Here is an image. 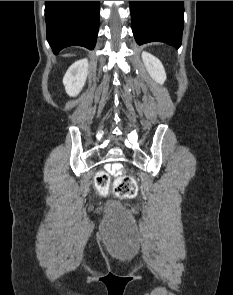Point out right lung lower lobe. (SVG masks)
<instances>
[{"label": "right lung lower lobe", "instance_id": "obj_1", "mask_svg": "<svg viewBox=\"0 0 233 295\" xmlns=\"http://www.w3.org/2000/svg\"><path fill=\"white\" fill-rule=\"evenodd\" d=\"M100 1H45L47 40L54 54L71 45L93 49Z\"/></svg>", "mask_w": 233, "mask_h": 295}]
</instances>
